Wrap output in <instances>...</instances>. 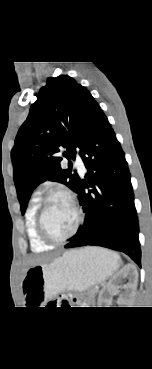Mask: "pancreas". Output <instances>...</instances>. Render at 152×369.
Listing matches in <instances>:
<instances>
[{
	"label": "pancreas",
	"mask_w": 152,
	"mask_h": 369,
	"mask_svg": "<svg viewBox=\"0 0 152 369\" xmlns=\"http://www.w3.org/2000/svg\"><path fill=\"white\" fill-rule=\"evenodd\" d=\"M96 293H97V291L95 289L90 290V292L88 293L89 298H90L91 301L94 300V297H95Z\"/></svg>",
	"instance_id": "1"
}]
</instances>
